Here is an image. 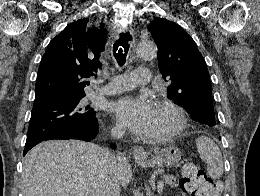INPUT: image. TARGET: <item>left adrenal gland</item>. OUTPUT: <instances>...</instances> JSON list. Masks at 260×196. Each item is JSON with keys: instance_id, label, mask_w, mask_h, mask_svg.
<instances>
[{"instance_id": "1", "label": "left adrenal gland", "mask_w": 260, "mask_h": 196, "mask_svg": "<svg viewBox=\"0 0 260 196\" xmlns=\"http://www.w3.org/2000/svg\"><path fill=\"white\" fill-rule=\"evenodd\" d=\"M147 196H154V194H153L151 188H148V190H147Z\"/></svg>"}]
</instances>
